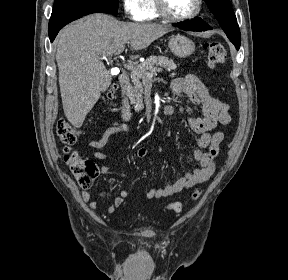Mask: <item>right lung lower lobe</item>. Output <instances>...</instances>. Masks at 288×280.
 Masks as SVG:
<instances>
[{
    "mask_svg": "<svg viewBox=\"0 0 288 280\" xmlns=\"http://www.w3.org/2000/svg\"><path fill=\"white\" fill-rule=\"evenodd\" d=\"M91 13L113 14L110 10L92 3H82L62 8L52 13L49 22V38L53 42L59 30L66 24Z\"/></svg>",
    "mask_w": 288,
    "mask_h": 280,
    "instance_id": "right-lung-lower-lobe-1",
    "label": "right lung lower lobe"
}]
</instances>
